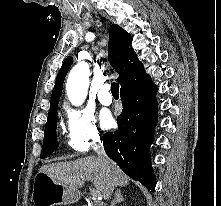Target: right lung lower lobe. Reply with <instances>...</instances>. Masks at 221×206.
Listing matches in <instances>:
<instances>
[{
	"label": "right lung lower lobe",
	"mask_w": 221,
	"mask_h": 206,
	"mask_svg": "<svg viewBox=\"0 0 221 206\" xmlns=\"http://www.w3.org/2000/svg\"><path fill=\"white\" fill-rule=\"evenodd\" d=\"M156 92V85L144 70L127 80L120 90L123 110L117 118L118 130L101 138L107 155L151 191L156 186L149 154L158 120Z\"/></svg>",
	"instance_id": "right-lung-lower-lobe-1"
}]
</instances>
